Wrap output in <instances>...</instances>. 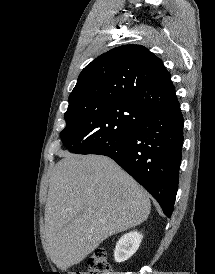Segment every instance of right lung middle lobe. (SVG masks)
Returning a JSON list of instances; mask_svg holds the SVG:
<instances>
[{"mask_svg": "<svg viewBox=\"0 0 215 274\" xmlns=\"http://www.w3.org/2000/svg\"><path fill=\"white\" fill-rule=\"evenodd\" d=\"M149 114L137 105L119 100L69 103L61 139L71 152L91 154L129 135Z\"/></svg>", "mask_w": 215, "mask_h": 274, "instance_id": "1", "label": "right lung middle lobe"}]
</instances>
